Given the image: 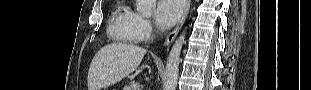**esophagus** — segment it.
I'll list each match as a JSON object with an SVG mask.
<instances>
[{"label": "esophagus", "mask_w": 311, "mask_h": 90, "mask_svg": "<svg viewBox=\"0 0 311 90\" xmlns=\"http://www.w3.org/2000/svg\"><path fill=\"white\" fill-rule=\"evenodd\" d=\"M190 5H191V0H186V4H185V8L184 11L182 13V16L177 24V26L174 28V30L166 37L163 46L166 47L168 46L176 37V35L178 34L179 30L181 29L187 15L188 12L190 10Z\"/></svg>", "instance_id": "34e87169"}]
</instances>
